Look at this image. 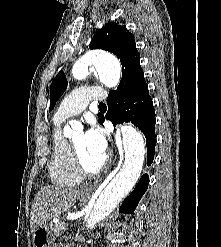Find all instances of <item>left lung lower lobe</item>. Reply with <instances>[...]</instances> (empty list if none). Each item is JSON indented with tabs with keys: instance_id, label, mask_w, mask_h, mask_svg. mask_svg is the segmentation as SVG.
Returning <instances> with one entry per match:
<instances>
[{
	"instance_id": "1",
	"label": "left lung lower lobe",
	"mask_w": 221,
	"mask_h": 247,
	"mask_svg": "<svg viewBox=\"0 0 221 247\" xmlns=\"http://www.w3.org/2000/svg\"><path fill=\"white\" fill-rule=\"evenodd\" d=\"M108 112L106 118L115 126L117 123L131 122L137 126L146 137L147 146V165L154 159V149L156 144L155 135V110L149 90L133 93L128 96L109 93L107 98ZM104 116H99L103 123ZM149 177L144 174L133 192L124 200L119 211L122 213L133 214L141 197L146 192Z\"/></svg>"
}]
</instances>
